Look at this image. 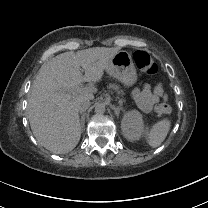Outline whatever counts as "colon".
Returning a JSON list of instances; mask_svg holds the SVG:
<instances>
[{
    "instance_id": "5ec220e1",
    "label": "colon",
    "mask_w": 208,
    "mask_h": 208,
    "mask_svg": "<svg viewBox=\"0 0 208 208\" xmlns=\"http://www.w3.org/2000/svg\"><path fill=\"white\" fill-rule=\"evenodd\" d=\"M134 61L136 66L147 76L153 77L157 73V67L149 53L138 50L135 52ZM155 111L166 115H172L171 108L168 105H156Z\"/></svg>"
}]
</instances>
